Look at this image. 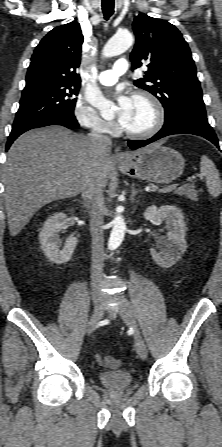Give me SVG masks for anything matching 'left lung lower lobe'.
<instances>
[{"label":"left lung lower lobe","instance_id":"1","mask_svg":"<svg viewBox=\"0 0 222 447\" xmlns=\"http://www.w3.org/2000/svg\"><path fill=\"white\" fill-rule=\"evenodd\" d=\"M173 134H193L202 136L219 148L216 134L208 121L188 113H176L171 118L165 120L162 129L152 138L141 141L129 140L128 145L132 150H135Z\"/></svg>","mask_w":222,"mask_h":447}]
</instances>
